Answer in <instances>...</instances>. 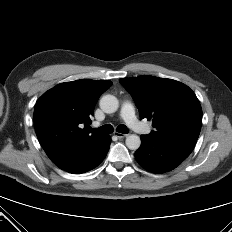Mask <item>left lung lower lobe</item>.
<instances>
[{"label": "left lung lower lobe", "mask_w": 232, "mask_h": 232, "mask_svg": "<svg viewBox=\"0 0 232 232\" xmlns=\"http://www.w3.org/2000/svg\"><path fill=\"white\" fill-rule=\"evenodd\" d=\"M141 146L135 152L137 162L153 173H164L179 166L192 152L196 141L190 138H154L141 135Z\"/></svg>", "instance_id": "1"}]
</instances>
